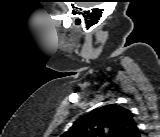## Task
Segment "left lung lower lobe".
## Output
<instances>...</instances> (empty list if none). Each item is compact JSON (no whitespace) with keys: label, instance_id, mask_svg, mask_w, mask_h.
<instances>
[{"label":"left lung lower lobe","instance_id":"obj_1","mask_svg":"<svg viewBox=\"0 0 160 137\" xmlns=\"http://www.w3.org/2000/svg\"><path fill=\"white\" fill-rule=\"evenodd\" d=\"M135 137H139V130H138V132L136 133Z\"/></svg>","mask_w":160,"mask_h":137}]
</instances>
